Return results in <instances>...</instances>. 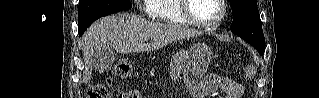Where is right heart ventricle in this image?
Listing matches in <instances>:
<instances>
[{
	"label": "right heart ventricle",
	"mask_w": 319,
	"mask_h": 98,
	"mask_svg": "<svg viewBox=\"0 0 319 98\" xmlns=\"http://www.w3.org/2000/svg\"><path fill=\"white\" fill-rule=\"evenodd\" d=\"M146 10L153 18L176 24H188L183 17L179 0H146Z\"/></svg>",
	"instance_id": "right-heart-ventricle-1"
}]
</instances>
